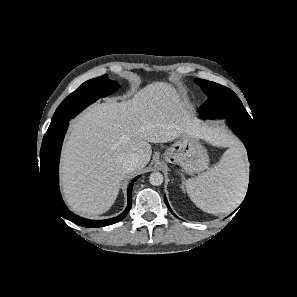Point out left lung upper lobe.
<instances>
[{"label":"left lung upper lobe","mask_w":297,"mask_h":297,"mask_svg":"<svg viewBox=\"0 0 297 297\" xmlns=\"http://www.w3.org/2000/svg\"><path fill=\"white\" fill-rule=\"evenodd\" d=\"M195 82L208 97L205 104L199 109L201 118L232 119L254 128L252 118L232 90L215 82L199 78H196Z\"/></svg>","instance_id":"obj_1"}]
</instances>
